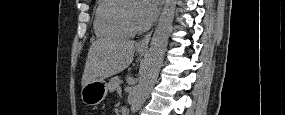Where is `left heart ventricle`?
<instances>
[{
    "label": "left heart ventricle",
    "instance_id": "b2bd125f",
    "mask_svg": "<svg viewBox=\"0 0 285 115\" xmlns=\"http://www.w3.org/2000/svg\"><path fill=\"white\" fill-rule=\"evenodd\" d=\"M127 15L129 16L134 25L142 26L138 19V4L131 2L127 9Z\"/></svg>",
    "mask_w": 285,
    "mask_h": 115
}]
</instances>
